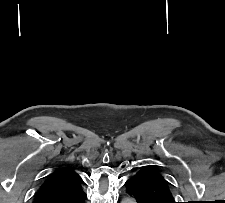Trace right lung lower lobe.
<instances>
[{"label": "right lung lower lobe", "instance_id": "right-lung-lower-lobe-1", "mask_svg": "<svg viewBox=\"0 0 225 203\" xmlns=\"http://www.w3.org/2000/svg\"><path fill=\"white\" fill-rule=\"evenodd\" d=\"M86 193L83 192L78 197L72 200H57L55 202H47V203H85Z\"/></svg>", "mask_w": 225, "mask_h": 203}]
</instances>
